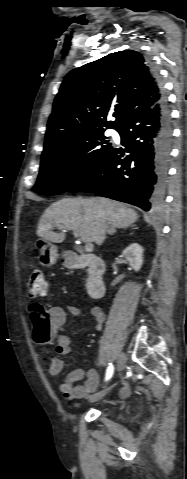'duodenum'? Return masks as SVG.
Here are the masks:
<instances>
[{
	"label": "duodenum",
	"mask_w": 187,
	"mask_h": 479,
	"mask_svg": "<svg viewBox=\"0 0 187 479\" xmlns=\"http://www.w3.org/2000/svg\"><path fill=\"white\" fill-rule=\"evenodd\" d=\"M64 262L71 268L87 269V293L92 298L103 296L105 285L103 273L105 269L104 262L97 256L86 254L82 256H74L65 254Z\"/></svg>",
	"instance_id": "410a0bca"
}]
</instances>
